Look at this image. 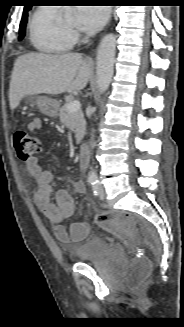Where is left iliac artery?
I'll use <instances>...</instances> for the list:
<instances>
[{"mask_svg": "<svg viewBox=\"0 0 184 327\" xmlns=\"http://www.w3.org/2000/svg\"><path fill=\"white\" fill-rule=\"evenodd\" d=\"M94 195H98V180L94 184H92Z\"/></svg>", "mask_w": 184, "mask_h": 327, "instance_id": "left-iliac-artery-1", "label": "left iliac artery"}]
</instances>
